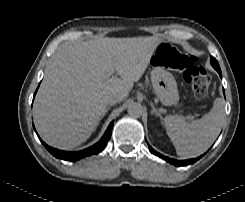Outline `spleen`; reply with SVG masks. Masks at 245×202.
<instances>
[{"instance_id":"1","label":"spleen","mask_w":245,"mask_h":202,"mask_svg":"<svg viewBox=\"0 0 245 202\" xmlns=\"http://www.w3.org/2000/svg\"><path fill=\"white\" fill-rule=\"evenodd\" d=\"M224 117V101L217 98L210 112L201 119L187 123L181 117L166 116L163 122L177 155L187 159L199 156L212 145L220 132Z\"/></svg>"}]
</instances>
